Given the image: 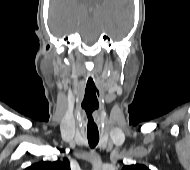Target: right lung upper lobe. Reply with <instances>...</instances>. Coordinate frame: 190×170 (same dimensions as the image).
<instances>
[{
  "instance_id": "obj_1",
  "label": "right lung upper lobe",
  "mask_w": 190,
  "mask_h": 170,
  "mask_svg": "<svg viewBox=\"0 0 190 170\" xmlns=\"http://www.w3.org/2000/svg\"><path fill=\"white\" fill-rule=\"evenodd\" d=\"M25 170H70V163L66 158L62 161L57 160L55 162H38L27 167Z\"/></svg>"
}]
</instances>
